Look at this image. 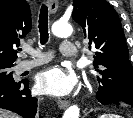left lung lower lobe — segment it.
Instances as JSON below:
<instances>
[{
	"instance_id": "0a47b994",
	"label": "left lung lower lobe",
	"mask_w": 133,
	"mask_h": 118,
	"mask_svg": "<svg viewBox=\"0 0 133 118\" xmlns=\"http://www.w3.org/2000/svg\"><path fill=\"white\" fill-rule=\"evenodd\" d=\"M109 105L114 106V107H120V108L125 107L124 104L122 102H119V101L110 102Z\"/></svg>"
}]
</instances>
